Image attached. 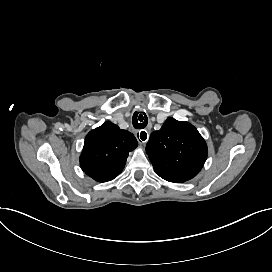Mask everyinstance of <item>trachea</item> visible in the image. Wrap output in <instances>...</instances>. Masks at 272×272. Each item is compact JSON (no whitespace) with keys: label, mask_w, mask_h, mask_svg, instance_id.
Wrapping results in <instances>:
<instances>
[{"label":"trachea","mask_w":272,"mask_h":272,"mask_svg":"<svg viewBox=\"0 0 272 272\" xmlns=\"http://www.w3.org/2000/svg\"><path fill=\"white\" fill-rule=\"evenodd\" d=\"M147 123H148V119H147L146 116H145V119H144V121L142 123L138 122L137 116H135V115L133 116V126H134V128H136V129H143V128H145L147 126Z\"/></svg>","instance_id":"trachea-1"}]
</instances>
